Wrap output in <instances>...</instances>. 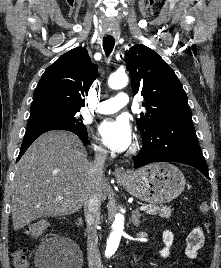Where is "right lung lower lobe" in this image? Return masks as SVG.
Listing matches in <instances>:
<instances>
[{
    "instance_id": "obj_1",
    "label": "right lung lower lobe",
    "mask_w": 221,
    "mask_h": 268,
    "mask_svg": "<svg viewBox=\"0 0 221 268\" xmlns=\"http://www.w3.org/2000/svg\"><path fill=\"white\" fill-rule=\"evenodd\" d=\"M50 130H67L74 134H76L80 140L83 142L84 145L88 144V134L87 130H79V129H70L65 127H59V126H48V125H42V126H35L31 128H27L25 137L23 140V143L21 145L19 156L16 160L19 161V159L22 157V155L25 153V151L28 149V147L32 144V142L39 137L41 134L50 131Z\"/></svg>"
}]
</instances>
